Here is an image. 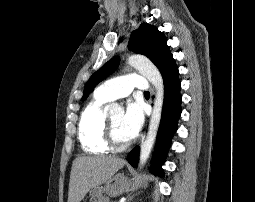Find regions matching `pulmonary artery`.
<instances>
[{
	"instance_id": "pulmonary-artery-1",
	"label": "pulmonary artery",
	"mask_w": 255,
	"mask_h": 202,
	"mask_svg": "<svg viewBox=\"0 0 255 202\" xmlns=\"http://www.w3.org/2000/svg\"><path fill=\"white\" fill-rule=\"evenodd\" d=\"M134 88L148 91L149 85L144 77L132 73L104 82L96 89L95 94L107 101H113L129 95Z\"/></svg>"
}]
</instances>
